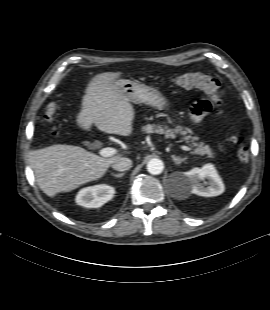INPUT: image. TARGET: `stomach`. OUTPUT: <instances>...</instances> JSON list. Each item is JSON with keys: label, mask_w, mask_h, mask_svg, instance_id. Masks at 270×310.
<instances>
[{"label": "stomach", "mask_w": 270, "mask_h": 310, "mask_svg": "<svg viewBox=\"0 0 270 310\" xmlns=\"http://www.w3.org/2000/svg\"><path fill=\"white\" fill-rule=\"evenodd\" d=\"M116 88L123 92L133 103H145L158 109H163L166 106L165 98L157 89L139 82L118 80Z\"/></svg>", "instance_id": "stomach-1"}]
</instances>
